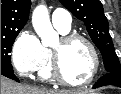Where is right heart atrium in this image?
Returning <instances> with one entry per match:
<instances>
[{
  "label": "right heart atrium",
  "mask_w": 121,
  "mask_h": 94,
  "mask_svg": "<svg viewBox=\"0 0 121 94\" xmlns=\"http://www.w3.org/2000/svg\"><path fill=\"white\" fill-rule=\"evenodd\" d=\"M11 61L15 71L22 77L37 72L44 62V47L32 31H23L14 42Z\"/></svg>",
  "instance_id": "1"
}]
</instances>
